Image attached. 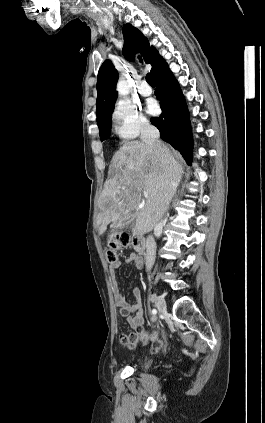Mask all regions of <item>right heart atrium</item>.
<instances>
[{
  "mask_svg": "<svg viewBox=\"0 0 265 423\" xmlns=\"http://www.w3.org/2000/svg\"><path fill=\"white\" fill-rule=\"evenodd\" d=\"M111 117L117 135L124 140H132L150 127L139 107L128 101H118Z\"/></svg>",
  "mask_w": 265,
  "mask_h": 423,
  "instance_id": "1",
  "label": "right heart atrium"
}]
</instances>
